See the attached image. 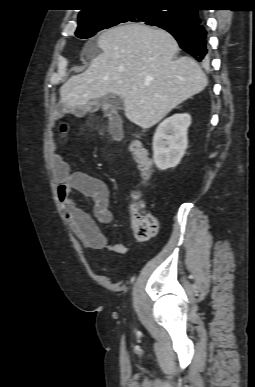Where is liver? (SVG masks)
Segmentation results:
<instances>
[{"mask_svg":"<svg viewBox=\"0 0 255 387\" xmlns=\"http://www.w3.org/2000/svg\"><path fill=\"white\" fill-rule=\"evenodd\" d=\"M97 45L102 53L88 69L60 87L65 108L119 95L125 116L148 129L207 86L206 75L192 58L176 57L178 43L163 29L121 25L104 31Z\"/></svg>","mask_w":255,"mask_h":387,"instance_id":"obj_1","label":"liver"}]
</instances>
